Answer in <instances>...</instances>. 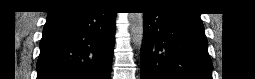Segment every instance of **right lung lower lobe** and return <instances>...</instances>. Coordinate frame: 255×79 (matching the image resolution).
<instances>
[{
  "label": "right lung lower lobe",
  "mask_w": 255,
  "mask_h": 79,
  "mask_svg": "<svg viewBox=\"0 0 255 79\" xmlns=\"http://www.w3.org/2000/svg\"><path fill=\"white\" fill-rule=\"evenodd\" d=\"M115 16L98 5L50 11L40 43L37 79H110Z\"/></svg>",
  "instance_id": "right-lung-lower-lobe-1"
}]
</instances>
